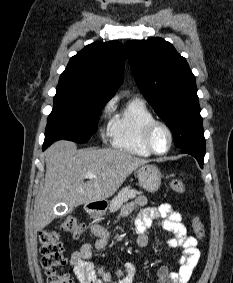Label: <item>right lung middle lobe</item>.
<instances>
[{
	"label": "right lung middle lobe",
	"mask_w": 233,
	"mask_h": 283,
	"mask_svg": "<svg viewBox=\"0 0 233 283\" xmlns=\"http://www.w3.org/2000/svg\"><path fill=\"white\" fill-rule=\"evenodd\" d=\"M105 103L80 98L68 91L57 90L54 107L48 116L44 144L66 139L85 143L96 132Z\"/></svg>",
	"instance_id": "right-lung-middle-lobe-1"
}]
</instances>
